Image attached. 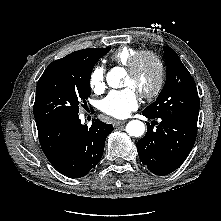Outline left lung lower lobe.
<instances>
[{
    "mask_svg": "<svg viewBox=\"0 0 221 221\" xmlns=\"http://www.w3.org/2000/svg\"><path fill=\"white\" fill-rule=\"evenodd\" d=\"M142 114L153 119L148 114ZM197 122L161 119L156 130L147 123V133L136 146L139 158L156 175H167L184 162L194 146Z\"/></svg>",
    "mask_w": 221,
    "mask_h": 221,
    "instance_id": "0a47b994",
    "label": "left lung lower lobe"
}]
</instances>
